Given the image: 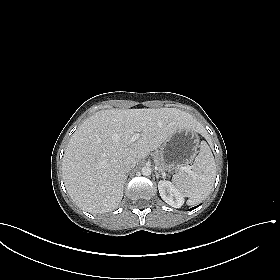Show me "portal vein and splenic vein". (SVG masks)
<instances>
[{
  "mask_svg": "<svg viewBox=\"0 0 280 280\" xmlns=\"http://www.w3.org/2000/svg\"><path fill=\"white\" fill-rule=\"evenodd\" d=\"M138 138H139V134L136 133L130 138V142H135ZM182 170L187 172L190 170V168H189V166H185V167H182Z\"/></svg>",
  "mask_w": 280,
  "mask_h": 280,
  "instance_id": "obj_1",
  "label": "portal vein and splenic vein"
}]
</instances>
